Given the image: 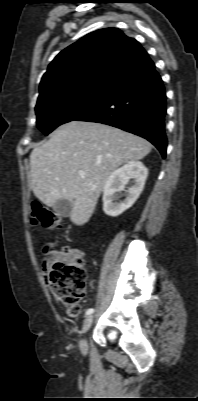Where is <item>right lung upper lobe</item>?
Instances as JSON below:
<instances>
[{"instance_id":"1","label":"right lung upper lobe","mask_w":198,"mask_h":401,"mask_svg":"<svg viewBox=\"0 0 198 401\" xmlns=\"http://www.w3.org/2000/svg\"><path fill=\"white\" fill-rule=\"evenodd\" d=\"M147 57L135 39L117 28L94 31L61 51L49 64L38 99L88 84L109 85Z\"/></svg>"}]
</instances>
